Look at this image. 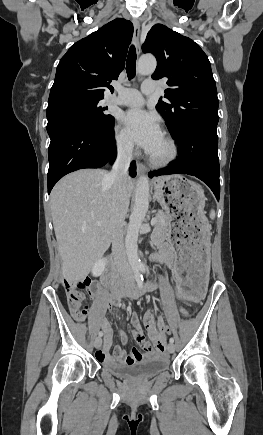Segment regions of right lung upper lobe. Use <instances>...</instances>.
I'll return each instance as SVG.
<instances>
[{
	"mask_svg": "<svg viewBox=\"0 0 263 435\" xmlns=\"http://www.w3.org/2000/svg\"><path fill=\"white\" fill-rule=\"evenodd\" d=\"M132 35V23L117 18L72 45L57 66L48 106L113 92L109 83L124 69Z\"/></svg>",
	"mask_w": 263,
	"mask_h": 435,
	"instance_id": "1",
	"label": "right lung upper lobe"
}]
</instances>
